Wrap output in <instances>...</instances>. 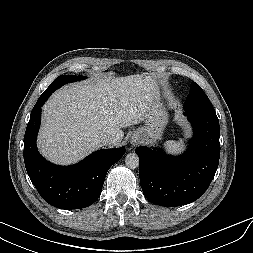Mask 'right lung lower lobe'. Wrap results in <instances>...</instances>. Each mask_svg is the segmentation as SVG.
<instances>
[{"instance_id": "right-lung-lower-lobe-1", "label": "right lung lower lobe", "mask_w": 253, "mask_h": 253, "mask_svg": "<svg viewBox=\"0 0 253 253\" xmlns=\"http://www.w3.org/2000/svg\"><path fill=\"white\" fill-rule=\"evenodd\" d=\"M48 99L35 104L24 136V162L27 173L41 197L61 209H80L93 204L100 196L109 168L125 153L124 148L99 150L79 164L57 166L46 161L36 147L41 121V107Z\"/></svg>"}]
</instances>
